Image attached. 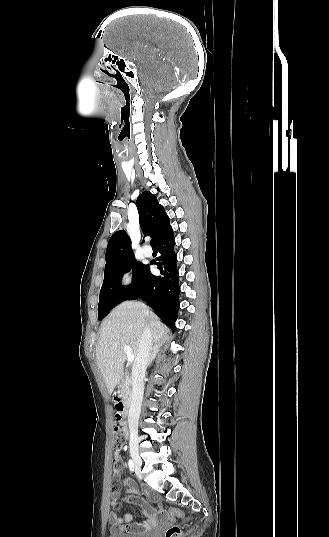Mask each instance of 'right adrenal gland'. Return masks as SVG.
Segmentation results:
<instances>
[{"mask_svg":"<svg viewBox=\"0 0 329 537\" xmlns=\"http://www.w3.org/2000/svg\"><path fill=\"white\" fill-rule=\"evenodd\" d=\"M160 346H161V345H160L159 343H155V344H154V346H153V348H152V352H151V354H150V358H149V360H148V364H147V366H150V365H151L153 359L156 357L157 353H158L159 350H160Z\"/></svg>","mask_w":329,"mask_h":537,"instance_id":"2a0ac1e0","label":"right adrenal gland"}]
</instances>
